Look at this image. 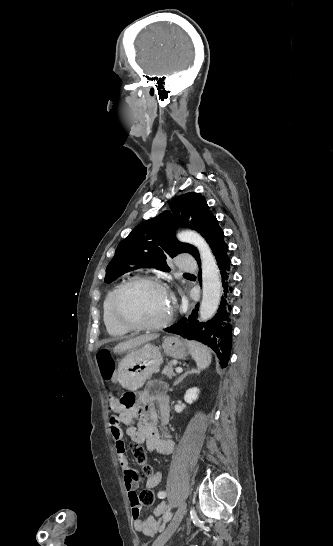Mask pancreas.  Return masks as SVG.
Wrapping results in <instances>:
<instances>
[{
  "mask_svg": "<svg viewBox=\"0 0 333 546\" xmlns=\"http://www.w3.org/2000/svg\"><path fill=\"white\" fill-rule=\"evenodd\" d=\"M176 366V364L174 362H169L165 368L163 369L162 371V375L166 378H172L175 376V373H174V367Z\"/></svg>",
  "mask_w": 333,
  "mask_h": 546,
  "instance_id": "obj_1",
  "label": "pancreas"
}]
</instances>
